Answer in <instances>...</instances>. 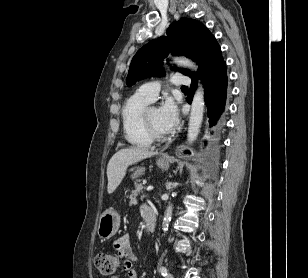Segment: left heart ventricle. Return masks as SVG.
Instances as JSON below:
<instances>
[{
	"mask_svg": "<svg viewBox=\"0 0 308 278\" xmlns=\"http://www.w3.org/2000/svg\"><path fill=\"white\" fill-rule=\"evenodd\" d=\"M148 116H149L150 123L152 124L154 129L160 133H163L159 125L158 109L151 108L149 110Z\"/></svg>",
	"mask_w": 308,
	"mask_h": 278,
	"instance_id": "1",
	"label": "left heart ventricle"
}]
</instances>
